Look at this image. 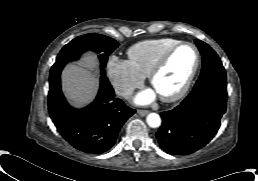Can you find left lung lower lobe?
<instances>
[{
  "instance_id": "0a47b994",
  "label": "left lung lower lobe",
  "mask_w": 258,
  "mask_h": 181,
  "mask_svg": "<svg viewBox=\"0 0 258 181\" xmlns=\"http://www.w3.org/2000/svg\"><path fill=\"white\" fill-rule=\"evenodd\" d=\"M227 82L206 80L174 109L162 112L156 133L160 147L171 155H188L204 147L220 128L226 111Z\"/></svg>"
}]
</instances>
